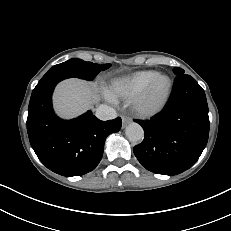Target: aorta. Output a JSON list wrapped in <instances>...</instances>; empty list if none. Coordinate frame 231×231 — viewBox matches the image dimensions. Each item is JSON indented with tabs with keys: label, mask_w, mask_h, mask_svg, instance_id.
<instances>
[{
	"label": "aorta",
	"mask_w": 231,
	"mask_h": 231,
	"mask_svg": "<svg viewBox=\"0 0 231 231\" xmlns=\"http://www.w3.org/2000/svg\"><path fill=\"white\" fill-rule=\"evenodd\" d=\"M126 136L131 142H140L144 138V130L137 123H131L126 128Z\"/></svg>",
	"instance_id": "obj_1"
}]
</instances>
